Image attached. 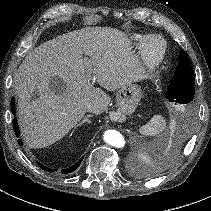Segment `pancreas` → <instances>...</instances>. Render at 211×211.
I'll return each mask as SVG.
<instances>
[{
  "label": "pancreas",
  "instance_id": "cf45deb5",
  "mask_svg": "<svg viewBox=\"0 0 211 211\" xmlns=\"http://www.w3.org/2000/svg\"><path fill=\"white\" fill-rule=\"evenodd\" d=\"M112 116L113 117H116V118H125L124 115H122L121 113H119L118 111L117 112H112Z\"/></svg>",
  "mask_w": 211,
  "mask_h": 211
}]
</instances>
